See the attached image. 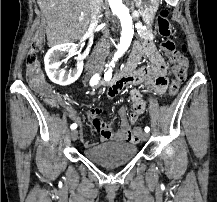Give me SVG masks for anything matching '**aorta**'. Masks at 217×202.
Segmentation results:
<instances>
[{"label":"aorta","mask_w":217,"mask_h":202,"mask_svg":"<svg viewBox=\"0 0 217 202\" xmlns=\"http://www.w3.org/2000/svg\"><path fill=\"white\" fill-rule=\"evenodd\" d=\"M108 2L113 14H116L121 22L122 32L120 44L114 56V60H118V58H121V56L127 52L132 42L134 34L133 22L129 10L128 8H125L122 0H108Z\"/></svg>","instance_id":"762f6f07"}]
</instances>
